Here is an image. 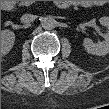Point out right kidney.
<instances>
[{"label": "right kidney", "instance_id": "obj_1", "mask_svg": "<svg viewBox=\"0 0 109 109\" xmlns=\"http://www.w3.org/2000/svg\"><path fill=\"white\" fill-rule=\"evenodd\" d=\"M15 41V34L9 30H3L1 32V53L7 54L13 47Z\"/></svg>", "mask_w": 109, "mask_h": 109}]
</instances>
